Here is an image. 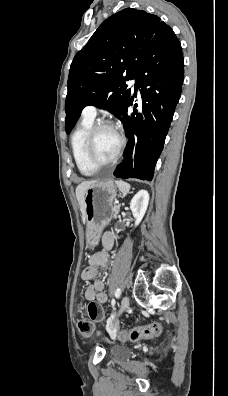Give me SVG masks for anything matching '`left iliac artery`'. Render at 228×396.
Segmentation results:
<instances>
[{"instance_id":"44dca946","label":"left iliac artery","mask_w":228,"mask_h":396,"mask_svg":"<svg viewBox=\"0 0 228 396\" xmlns=\"http://www.w3.org/2000/svg\"><path fill=\"white\" fill-rule=\"evenodd\" d=\"M120 295H121V289L118 288V289L116 290V292H115V297H116V298H119Z\"/></svg>"}]
</instances>
